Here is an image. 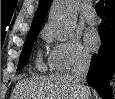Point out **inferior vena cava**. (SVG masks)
I'll list each match as a JSON object with an SVG mask.
<instances>
[{"label":"inferior vena cava","mask_w":115,"mask_h":99,"mask_svg":"<svg viewBox=\"0 0 115 99\" xmlns=\"http://www.w3.org/2000/svg\"><path fill=\"white\" fill-rule=\"evenodd\" d=\"M90 60L89 54L79 53L72 63L71 77L81 89V93L84 96L88 94V88L84 86V81L89 70Z\"/></svg>","instance_id":"1"}]
</instances>
